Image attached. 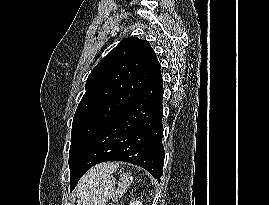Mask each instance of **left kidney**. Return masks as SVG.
<instances>
[{
	"label": "left kidney",
	"mask_w": 269,
	"mask_h": 205,
	"mask_svg": "<svg viewBox=\"0 0 269 205\" xmlns=\"http://www.w3.org/2000/svg\"><path fill=\"white\" fill-rule=\"evenodd\" d=\"M129 205H143V204L142 202L136 200V201L130 202Z\"/></svg>",
	"instance_id": "left-kidney-1"
}]
</instances>
